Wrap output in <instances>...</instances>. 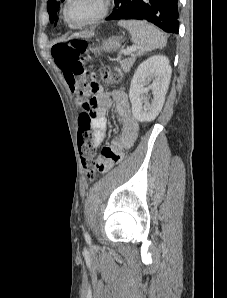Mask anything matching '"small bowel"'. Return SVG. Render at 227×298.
Returning a JSON list of instances; mask_svg holds the SVG:
<instances>
[{
	"label": "small bowel",
	"instance_id": "c3829d8e",
	"mask_svg": "<svg viewBox=\"0 0 227 298\" xmlns=\"http://www.w3.org/2000/svg\"><path fill=\"white\" fill-rule=\"evenodd\" d=\"M101 68H110V63H101ZM96 77L98 72H91V80H96ZM98 87L100 82H89V103H94L91 104V109L94 110H90L89 114L95 115L91 123L93 149L99 147L105 139L108 129L107 113L112 108L121 120L119 135L94 159L97 170L104 172L116 167V162H122L123 151L131 148L137 139L139 124L132 114L128 96L124 91L105 92Z\"/></svg>",
	"mask_w": 227,
	"mask_h": 298
}]
</instances>
